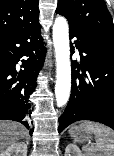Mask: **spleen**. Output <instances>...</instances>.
Masks as SVG:
<instances>
[{"label":"spleen","instance_id":"3e777b00","mask_svg":"<svg viewBox=\"0 0 114 156\" xmlns=\"http://www.w3.org/2000/svg\"><path fill=\"white\" fill-rule=\"evenodd\" d=\"M85 133L95 135L94 146H83L85 156H114V131L109 127L92 121L81 123Z\"/></svg>","mask_w":114,"mask_h":156}]
</instances>
